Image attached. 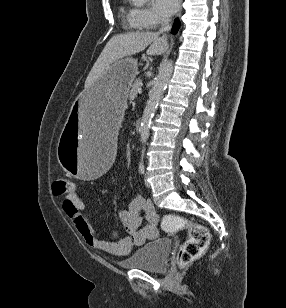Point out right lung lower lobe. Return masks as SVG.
Here are the masks:
<instances>
[{"instance_id": "right-lung-lower-lobe-1", "label": "right lung lower lobe", "mask_w": 286, "mask_h": 308, "mask_svg": "<svg viewBox=\"0 0 286 308\" xmlns=\"http://www.w3.org/2000/svg\"><path fill=\"white\" fill-rule=\"evenodd\" d=\"M179 26H180V23L178 22L177 19H175L174 25H173V28H172V32L176 33L178 31V29H179Z\"/></svg>"}]
</instances>
